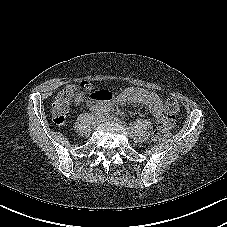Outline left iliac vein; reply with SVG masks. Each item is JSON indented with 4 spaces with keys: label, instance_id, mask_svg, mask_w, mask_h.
I'll return each instance as SVG.
<instances>
[{
    "label": "left iliac vein",
    "instance_id": "4c4485c4",
    "mask_svg": "<svg viewBox=\"0 0 227 227\" xmlns=\"http://www.w3.org/2000/svg\"><path fill=\"white\" fill-rule=\"evenodd\" d=\"M110 120L115 121V122H118L120 125H122V126L125 127V123L122 120H120V119H113V118H111ZM126 130H127V133H128L129 136H132L133 135L132 131L129 130V128H126Z\"/></svg>",
    "mask_w": 227,
    "mask_h": 227
}]
</instances>
